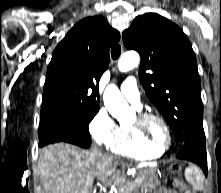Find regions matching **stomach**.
<instances>
[{
    "instance_id": "1",
    "label": "stomach",
    "mask_w": 221,
    "mask_h": 193,
    "mask_svg": "<svg viewBox=\"0 0 221 193\" xmlns=\"http://www.w3.org/2000/svg\"><path fill=\"white\" fill-rule=\"evenodd\" d=\"M147 179H154V174H147Z\"/></svg>"
}]
</instances>
